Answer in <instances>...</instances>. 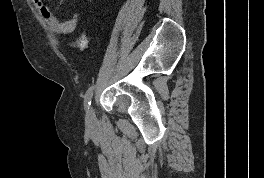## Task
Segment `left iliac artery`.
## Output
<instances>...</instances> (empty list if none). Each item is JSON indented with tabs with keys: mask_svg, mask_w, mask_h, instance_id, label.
I'll list each match as a JSON object with an SVG mask.
<instances>
[{
	"mask_svg": "<svg viewBox=\"0 0 264 178\" xmlns=\"http://www.w3.org/2000/svg\"><path fill=\"white\" fill-rule=\"evenodd\" d=\"M95 85H92L88 88V90L86 91L85 97H84V106L85 108H89V106L91 105V99L93 96V91H94Z\"/></svg>",
	"mask_w": 264,
	"mask_h": 178,
	"instance_id": "left-iliac-artery-1",
	"label": "left iliac artery"
}]
</instances>
